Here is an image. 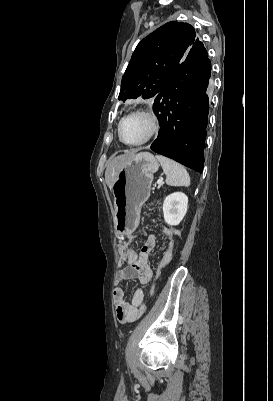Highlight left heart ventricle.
<instances>
[{
  "mask_svg": "<svg viewBox=\"0 0 273 401\" xmlns=\"http://www.w3.org/2000/svg\"><path fill=\"white\" fill-rule=\"evenodd\" d=\"M151 123L143 116H129L121 125V138L128 143L142 140L150 132Z\"/></svg>",
  "mask_w": 273,
  "mask_h": 401,
  "instance_id": "1",
  "label": "left heart ventricle"
}]
</instances>
